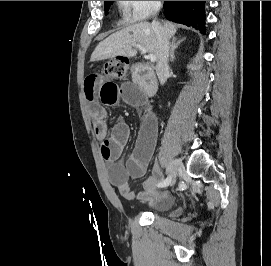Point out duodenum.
Instances as JSON below:
<instances>
[{"instance_id":"410a0bca","label":"duodenum","mask_w":271,"mask_h":266,"mask_svg":"<svg viewBox=\"0 0 271 266\" xmlns=\"http://www.w3.org/2000/svg\"><path fill=\"white\" fill-rule=\"evenodd\" d=\"M132 79L147 95L154 96L157 93V77L150 67L136 63L132 71Z\"/></svg>"}]
</instances>
